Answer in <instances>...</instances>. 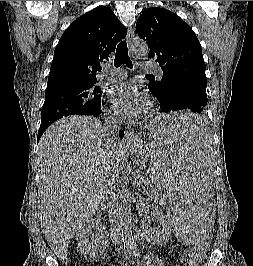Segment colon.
I'll use <instances>...</instances> for the list:
<instances>
[{
  "label": "colon",
  "mask_w": 253,
  "mask_h": 266,
  "mask_svg": "<svg viewBox=\"0 0 253 266\" xmlns=\"http://www.w3.org/2000/svg\"><path fill=\"white\" fill-rule=\"evenodd\" d=\"M208 247L209 245L207 242V248H191L184 259V266H199L208 250Z\"/></svg>",
  "instance_id": "colon-1"
}]
</instances>
